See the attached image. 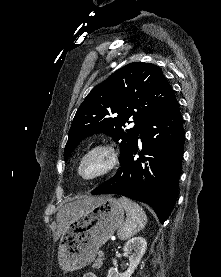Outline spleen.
Segmentation results:
<instances>
[{
  "label": "spleen",
  "instance_id": "1",
  "mask_svg": "<svg viewBox=\"0 0 221 277\" xmlns=\"http://www.w3.org/2000/svg\"><path fill=\"white\" fill-rule=\"evenodd\" d=\"M120 203L126 211V222L119 228L118 237L121 240H126L140 230H142L147 224V216L141 206L137 203L125 198H119Z\"/></svg>",
  "mask_w": 221,
  "mask_h": 277
}]
</instances>
